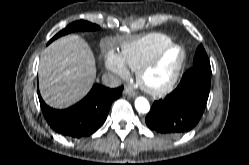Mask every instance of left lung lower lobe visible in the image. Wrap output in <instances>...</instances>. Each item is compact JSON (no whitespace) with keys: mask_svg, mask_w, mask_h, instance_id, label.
<instances>
[{"mask_svg":"<svg viewBox=\"0 0 249 165\" xmlns=\"http://www.w3.org/2000/svg\"><path fill=\"white\" fill-rule=\"evenodd\" d=\"M210 85L211 69L191 67L175 90L153 103L145 118L147 126L170 137L190 131L204 112Z\"/></svg>","mask_w":249,"mask_h":165,"instance_id":"0a47b994","label":"left lung lower lobe"}]
</instances>
